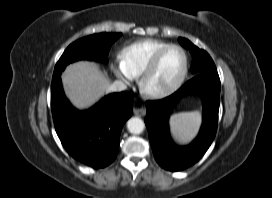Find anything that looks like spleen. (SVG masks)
<instances>
[{
	"label": "spleen",
	"mask_w": 272,
	"mask_h": 198,
	"mask_svg": "<svg viewBox=\"0 0 272 198\" xmlns=\"http://www.w3.org/2000/svg\"><path fill=\"white\" fill-rule=\"evenodd\" d=\"M201 124V113L199 111L181 112L170 118V127L173 136L181 143L192 139Z\"/></svg>",
	"instance_id": "1"
}]
</instances>
